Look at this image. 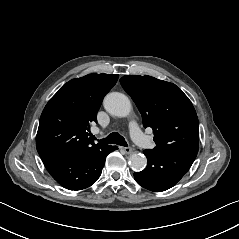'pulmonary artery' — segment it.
I'll return each instance as SVG.
<instances>
[{
    "label": "pulmonary artery",
    "instance_id": "pulmonary-artery-1",
    "mask_svg": "<svg viewBox=\"0 0 239 239\" xmlns=\"http://www.w3.org/2000/svg\"><path fill=\"white\" fill-rule=\"evenodd\" d=\"M93 132L96 133L97 130L94 129ZM130 136L134 142L139 143L140 140L144 137V134L136 124H132L130 129Z\"/></svg>",
    "mask_w": 239,
    "mask_h": 239
}]
</instances>
